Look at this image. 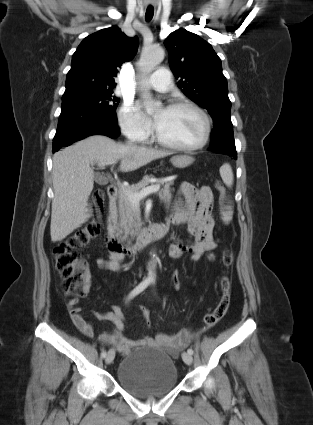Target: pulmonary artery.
I'll return each mask as SVG.
<instances>
[{
	"label": "pulmonary artery",
	"mask_w": 313,
	"mask_h": 425,
	"mask_svg": "<svg viewBox=\"0 0 313 425\" xmlns=\"http://www.w3.org/2000/svg\"><path fill=\"white\" fill-rule=\"evenodd\" d=\"M151 88L165 92L172 87L171 74L166 68L157 69L146 81Z\"/></svg>",
	"instance_id": "pulmonary-artery-1"
}]
</instances>
